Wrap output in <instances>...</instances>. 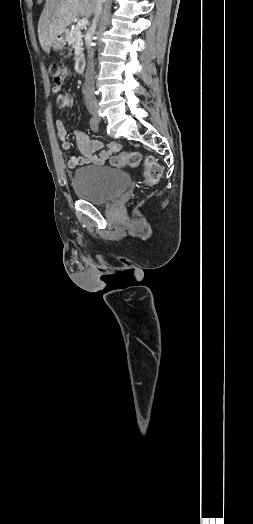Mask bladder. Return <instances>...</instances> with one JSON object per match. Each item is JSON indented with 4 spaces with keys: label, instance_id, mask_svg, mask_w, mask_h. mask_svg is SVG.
<instances>
[{
    "label": "bladder",
    "instance_id": "obj_1",
    "mask_svg": "<svg viewBox=\"0 0 253 524\" xmlns=\"http://www.w3.org/2000/svg\"><path fill=\"white\" fill-rule=\"evenodd\" d=\"M130 184L124 171L107 166H87L74 171L72 187L78 199L104 205L117 198Z\"/></svg>",
    "mask_w": 253,
    "mask_h": 524
}]
</instances>
